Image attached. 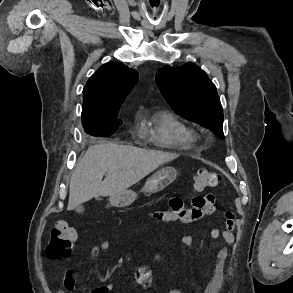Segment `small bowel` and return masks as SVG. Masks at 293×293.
<instances>
[{"mask_svg":"<svg viewBox=\"0 0 293 293\" xmlns=\"http://www.w3.org/2000/svg\"><path fill=\"white\" fill-rule=\"evenodd\" d=\"M196 200V201H195ZM216 198L212 193H208L202 196H196L192 200V207L185 208L183 201L179 197H173L169 200L166 209L164 210H152L150 216L161 223H193L199 221L203 216L213 214L215 208ZM211 235L214 238H222L228 245H231L235 241L234 234L230 231H220L218 229H212ZM183 245L189 249H193V237L190 233H186L182 237ZM111 248V242L109 240H103L99 244L94 245L91 248V256L95 259L101 257L104 252H107ZM227 249L221 248L217 253V260L214 265L211 279L204 290V293H217L223 282V271L225 261L227 259ZM135 280L143 287H149L152 283V273L147 267H139L135 273ZM64 290H58L57 293L73 292L75 289V281L70 271H67L63 281ZM114 289L113 283H106L96 289L90 291V293H111ZM167 293H181L179 289L173 288L167 291Z\"/></svg>","mask_w":293,"mask_h":293,"instance_id":"c3829d8e","label":"small bowel"}]
</instances>
